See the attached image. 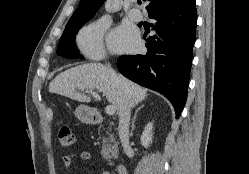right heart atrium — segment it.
Here are the masks:
<instances>
[{"label": "right heart atrium", "instance_id": "d8ad5b80", "mask_svg": "<svg viewBox=\"0 0 249 174\" xmlns=\"http://www.w3.org/2000/svg\"><path fill=\"white\" fill-rule=\"evenodd\" d=\"M107 28L108 23L102 19L83 26L76 36V45L80 52L93 60L103 59L106 54L104 37Z\"/></svg>", "mask_w": 249, "mask_h": 174}]
</instances>
